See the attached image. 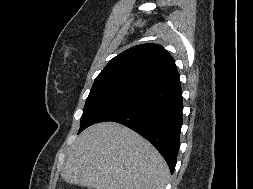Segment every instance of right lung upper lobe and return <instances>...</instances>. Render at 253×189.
Segmentation results:
<instances>
[{
    "mask_svg": "<svg viewBox=\"0 0 253 189\" xmlns=\"http://www.w3.org/2000/svg\"><path fill=\"white\" fill-rule=\"evenodd\" d=\"M178 81L179 74L170 54L158 44H141L110 60L92 89L128 86L151 91Z\"/></svg>",
    "mask_w": 253,
    "mask_h": 189,
    "instance_id": "obj_1",
    "label": "right lung upper lobe"
}]
</instances>
